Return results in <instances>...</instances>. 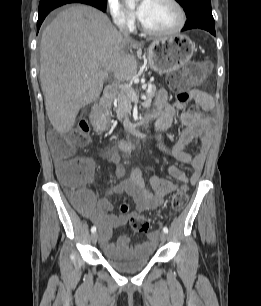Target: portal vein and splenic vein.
<instances>
[{
    "label": "portal vein and splenic vein",
    "instance_id": "obj_1",
    "mask_svg": "<svg viewBox=\"0 0 261 306\" xmlns=\"http://www.w3.org/2000/svg\"><path fill=\"white\" fill-rule=\"evenodd\" d=\"M120 87H121L122 90H124V91H126V92L132 94L133 96H135L134 90H133V88H132L130 85H128V84H121ZM135 99L137 100V97H136V96H135ZM142 99H143V100H146V101L143 103V105H144L145 107H149L150 104H151V99H147L145 95L142 96Z\"/></svg>",
    "mask_w": 261,
    "mask_h": 306
}]
</instances>
